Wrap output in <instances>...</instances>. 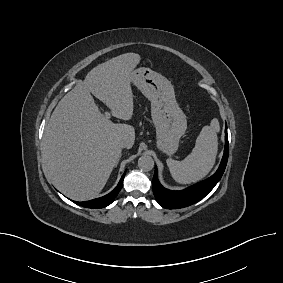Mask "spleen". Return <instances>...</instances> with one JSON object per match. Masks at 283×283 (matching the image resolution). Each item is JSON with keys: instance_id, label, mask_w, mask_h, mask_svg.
<instances>
[{"instance_id": "3e777b00", "label": "spleen", "mask_w": 283, "mask_h": 283, "mask_svg": "<svg viewBox=\"0 0 283 283\" xmlns=\"http://www.w3.org/2000/svg\"><path fill=\"white\" fill-rule=\"evenodd\" d=\"M217 118L204 126L199 133L192 152L182 161L167 159L173 179L180 184H190L204 178L213 168L218 151Z\"/></svg>"}]
</instances>
